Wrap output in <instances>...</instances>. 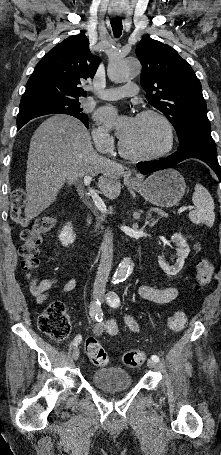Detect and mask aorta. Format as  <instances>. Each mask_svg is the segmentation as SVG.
Returning <instances> with one entry per match:
<instances>
[{"label":"aorta","mask_w":221,"mask_h":455,"mask_svg":"<svg viewBox=\"0 0 221 455\" xmlns=\"http://www.w3.org/2000/svg\"><path fill=\"white\" fill-rule=\"evenodd\" d=\"M141 66L136 60L112 61L109 64L108 76L114 82H126L140 73ZM133 269L130 258H124L114 274V280L125 279Z\"/></svg>","instance_id":"aorta-1"}]
</instances>
